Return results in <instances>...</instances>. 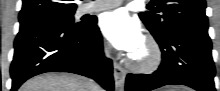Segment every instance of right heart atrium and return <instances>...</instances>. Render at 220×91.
Instances as JSON below:
<instances>
[{
    "label": "right heart atrium",
    "instance_id": "right-heart-atrium-1",
    "mask_svg": "<svg viewBox=\"0 0 220 91\" xmlns=\"http://www.w3.org/2000/svg\"><path fill=\"white\" fill-rule=\"evenodd\" d=\"M103 49H104V51H105L106 53H108V52H109V45H108L107 43H104V44H103Z\"/></svg>",
    "mask_w": 220,
    "mask_h": 91
}]
</instances>
